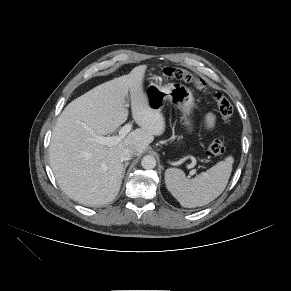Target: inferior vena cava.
<instances>
[{"instance_id": "1", "label": "inferior vena cava", "mask_w": 291, "mask_h": 291, "mask_svg": "<svg viewBox=\"0 0 291 291\" xmlns=\"http://www.w3.org/2000/svg\"><path fill=\"white\" fill-rule=\"evenodd\" d=\"M136 155V151L134 149L126 148L121 153V160L127 161L131 160Z\"/></svg>"}]
</instances>
